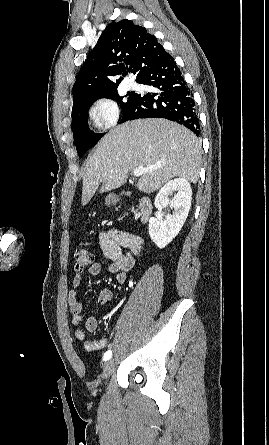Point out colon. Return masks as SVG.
Returning <instances> with one entry per match:
<instances>
[{"instance_id": "1", "label": "colon", "mask_w": 269, "mask_h": 445, "mask_svg": "<svg viewBox=\"0 0 269 445\" xmlns=\"http://www.w3.org/2000/svg\"><path fill=\"white\" fill-rule=\"evenodd\" d=\"M75 269L79 272L84 271L90 267L94 262L93 254L85 248H78L74 254Z\"/></svg>"}]
</instances>
